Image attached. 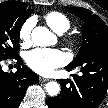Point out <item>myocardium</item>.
I'll return each mask as SVG.
<instances>
[{"label":"myocardium","mask_w":108,"mask_h":108,"mask_svg":"<svg viewBox=\"0 0 108 108\" xmlns=\"http://www.w3.org/2000/svg\"><path fill=\"white\" fill-rule=\"evenodd\" d=\"M76 43H77V42H76L75 39H72V38H71V39L68 40V44H69L70 46H75Z\"/></svg>","instance_id":"obj_1"}]
</instances>
